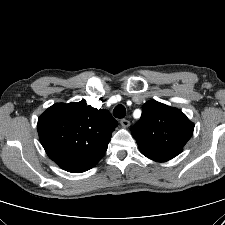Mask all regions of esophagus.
<instances>
[{"instance_id": "esophagus-1", "label": "esophagus", "mask_w": 225, "mask_h": 225, "mask_svg": "<svg viewBox=\"0 0 225 225\" xmlns=\"http://www.w3.org/2000/svg\"><path fill=\"white\" fill-rule=\"evenodd\" d=\"M120 123H121L122 127H124V128H127V127L130 126V121L127 120V119H122V120L120 121Z\"/></svg>"}]
</instances>
